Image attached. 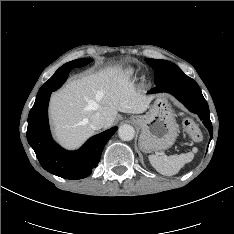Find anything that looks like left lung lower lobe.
<instances>
[{
    "mask_svg": "<svg viewBox=\"0 0 234 234\" xmlns=\"http://www.w3.org/2000/svg\"><path fill=\"white\" fill-rule=\"evenodd\" d=\"M168 92L174 95L191 112L199 115L212 138L213 128L210 121L209 107L198 84L187 75L168 79L151 89L149 93Z\"/></svg>",
    "mask_w": 234,
    "mask_h": 234,
    "instance_id": "obj_1",
    "label": "left lung lower lobe"
}]
</instances>
